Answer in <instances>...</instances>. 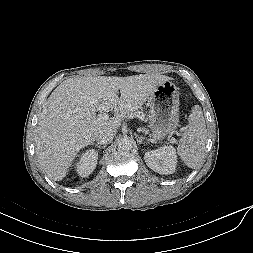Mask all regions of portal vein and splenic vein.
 Returning <instances> with one entry per match:
<instances>
[{"label":"portal vein and splenic vein","instance_id":"obj_1","mask_svg":"<svg viewBox=\"0 0 253 253\" xmlns=\"http://www.w3.org/2000/svg\"><path fill=\"white\" fill-rule=\"evenodd\" d=\"M107 118H108V114L103 113V114H99L96 119L98 121H100V120H104V119H107ZM171 142L174 143V142H176V140L174 138H171Z\"/></svg>","mask_w":253,"mask_h":253}]
</instances>
